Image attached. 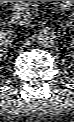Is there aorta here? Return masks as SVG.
Returning <instances> with one entry per match:
<instances>
[{"mask_svg":"<svg viewBox=\"0 0 74 122\" xmlns=\"http://www.w3.org/2000/svg\"><path fill=\"white\" fill-rule=\"evenodd\" d=\"M56 40L57 35L51 28H41L37 33V43L43 48L52 47Z\"/></svg>","mask_w":74,"mask_h":122,"instance_id":"obj_1","label":"aorta"}]
</instances>
